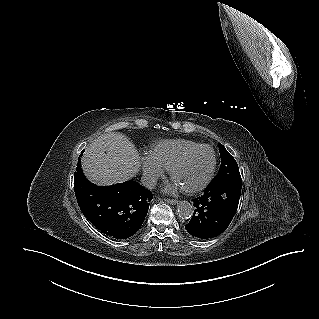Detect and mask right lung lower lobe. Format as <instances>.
Returning <instances> with one entry per match:
<instances>
[{"label": "right lung lower lobe", "instance_id": "1", "mask_svg": "<svg viewBox=\"0 0 319 319\" xmlns=\"http://www.w3.org/2000/svg\"><path fill=\"white\" fill-rule=\"evenodd\" d=\"M74 191L87 220L117 239L129 238L139 230L153 197L135 181L104 187L94 185L85 178L80 161L74 173Z\"/></svg>", "mask_w": 319, "mask_h": 319}]
</instances>
